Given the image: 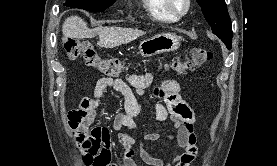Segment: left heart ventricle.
<instances>
[{
    "label": "left heart ventricle",
    "instance_id": "1",
    "mask_svg": "<svg viewBox=\"0 0 277 166\" xmlns=\"http://www.w3.org/2000/svg\"><path fill=\"white\" fill-rule=\"evenodd\" d=\"M175 10L183 11L185 9V0H171Z\"/></svg>",
    "mask_w": 277,
    "mask_h": 166
}]
</instances>
